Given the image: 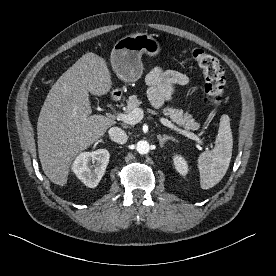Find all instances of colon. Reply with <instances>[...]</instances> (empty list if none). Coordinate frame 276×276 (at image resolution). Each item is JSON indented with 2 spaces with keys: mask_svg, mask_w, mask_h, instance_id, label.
I'll return each instance as SVG.
<instances>
[{
  "mask_svg": "<svg viewBox=\"0 0 276 276\" xmlns=\"http://www.w3.org/2000/svg\"><path fill=\"white\" fill-rule=\"evenodd\" d=\"M190 54L204 76L205 102L211 106H221L224 101L225 78L219 61L200 48L191 49Z\"/></svg>",
  "mask_w": 276,
  "mask_h": 276,
  "instance_id": "5ec220e1",
  "label": "colon"
}]
</instances>
